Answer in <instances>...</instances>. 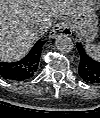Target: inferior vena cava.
Masks as SVG:
<instances>
[{"label":"inferior vena cava","instance_id":"inferior-vena-cava-1","mask_svg":"<svg viewBox=\"0 0 100 118\" xmlns=\"http://www.w3.org/2000/svg\"><path fill=\"white\" fill-rule=\"evenodd\" d=\"M52 20L47 18L45 20H42L41 22H38L35 25V31L38 34H44L47 32L48 28L51 26Z\"/></svg>","mask_w":100,"mask_h":118}]
</instances>
